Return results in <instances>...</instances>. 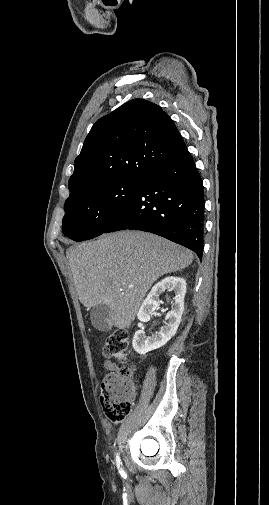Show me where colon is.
Returning <instances> with one entry per match:
<instances>
[{
  "label": "colon",
  "instance_id": "obj_1",
  "mask_svg": "<svg viewBox=\"0 0 269 505\" xmlns=\"http://www.w3.org/2000/svg\"><path fill=\"white\" fill-rule=\"evenodd\" d=\"M129 342L127 330H115L104 342V356L124 363L128 356ZM131 378L130 369L122 367L102 381L100 402L106 417L114 424L123 421L132 409L135 390Z\"/></svg>",
  "mask_w": 269,
  "mask_h": 505
}]
</instances>
